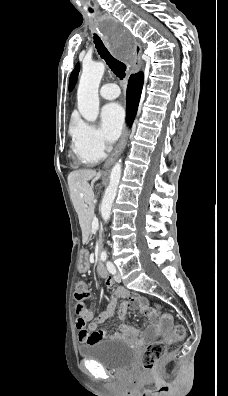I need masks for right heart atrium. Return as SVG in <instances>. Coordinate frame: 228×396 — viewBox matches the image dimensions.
I'll list each match as a JSON object with an SVG mask.
<instances>
[{"instance_id": "right-heart-atrium-1", "label": "right heart atrium", "mask_w": 228, "mask_h": 396, "mask_svg": "<svg viewBox=\"0 0 228 396\" xmlns=\"http://www.w3.org/2000/svg\"><path fill=\"white\" fill-rule=\"evenodd\" d=\"M73 137L78 151L95 160L101 159L109 148L101 131L94 125L83 121L76 123Z\"/></svg>"}]
</instances>
